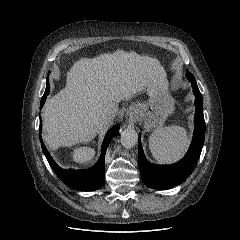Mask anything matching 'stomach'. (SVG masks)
<instances>
[{
    "instance_id": "stomach-1",
    "label": "stomach",
    "mask_w": 240,
    "mask_h": 240,
    "mask_svg": "<svg viewBox=\"0 0 240 240\" xmlns=\"http://www.w3.org/2000/svg\"><path fill=\"white\" fill-rule=\"evenodd\" d=\"M146 93L149 100L137 105L136 116L144 121L146 129L160 128L174 111V99L168 93L166 81L148 86Z\"/></svg>"
}]
</instances>
